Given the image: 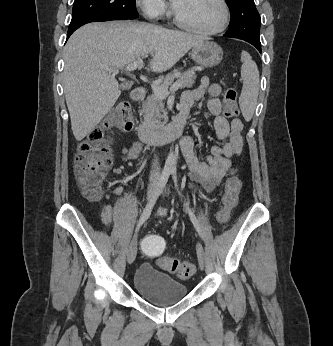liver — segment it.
Returning <instances> with one entry per match:
<instances>
[{"mask_svg": "<svg viewBox=\"0 0 333 346\" xmlns=\"http://www.w3.org/2000/svg\"><path fill=\"white\" fill-rule=\"evenodd\" d=\"M206 39L145 23H90L76 30L64 50L63 87L73 135L81 141L112 109L121 91L114 74L152 54L149 69L172 68Z\"/></svg>", "mask_w": 333, "mask_h": 346, "instance_id": "obj_1", "label": "liver"}]
</instances>
